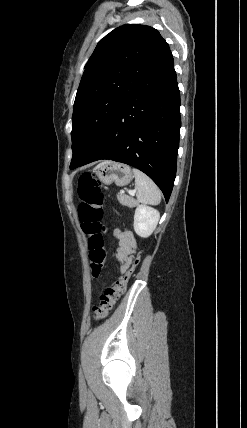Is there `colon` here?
<instances>
[{
  "label": "colon",
  "instance_id": "1",
  "mask_svg": "<svg viewBox=\"0 0 247 428\" xmlns=\"http://www.w3.org/2000/svg\"><path fill=\"white\" fill-rule=\"evenodd\" d=\"M79 218L83 231L88 235L89 257L91 260V276L98 278L106 263L107 251L103 234L102 206L104 194L102 185L95 175L84 173L78 180ZM140 263V255H136L127 271L100 295L99 303L93 307L97 320L106 318L119 298L126 292L128 283Z\"/></svg>",
  "mask_w": 247,
  "mask_h": 428
}]
</instances>
